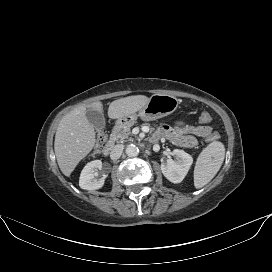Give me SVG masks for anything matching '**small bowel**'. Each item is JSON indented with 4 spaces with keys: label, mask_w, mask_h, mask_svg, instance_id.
I'll list each match as a JSON object with an SVG mask.
<instances>
[{
    "label": "small bowel",
    "mask_w": 272,
    "mask_h": 272,
    "mask_svg": "<svg viewBox=\"0 0 272 272\" xmlns=\"http://www.w3.org/2000/svg\"><path fill=\"white\" fill-rule=\"evenodd\" d=\"M212 132L208 125H190L177 121L173 125H164L158 130V137H165L173 144L192 148L197 144V138H207Z\"/></svg>",
    "instance_id": "1"
}]
</instances>
